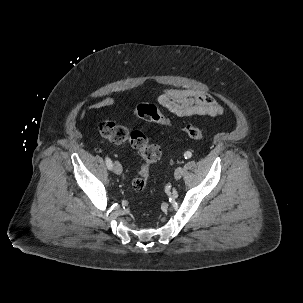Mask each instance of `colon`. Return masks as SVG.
<instances>
[{
	"instance_id": "obj_1",
	"label": "colon",
	"mask_w": 303,
	"mask_h": 303,
	"mask_svg": "<svg viewBox=\"0 0 303 303\" xmlns=\"http://www.w3.org/2000/svg\"><path fill=\"white\" fill-rule=\"evenodd\" d=\"M134 114L144 121L160 125H171V121L151 103L138 104L134 109ZM181 129L194 140L200 141L203 139V130L199 126L187 123ZM99 131L107 140L117 144L128 142L140 153L144 163L140 168L138 176L133 180L132 186L135 192L139 194L143 193L146 190L150 167L158 162L162 156L160 146L151 144L148 137L142 131L129 130L110 119H106L100 123Z\"/></svg>"
}]
</instances>
